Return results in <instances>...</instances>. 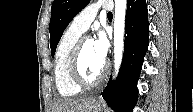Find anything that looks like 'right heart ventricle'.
I'll use <instances>...</instances> for the list:
<instances>
[{"label":"right heart ventricle","instance_id":"obj_1","mask_svg":"<svg viewBox=\"0 0 193 112\" xmlns=\"http://www.w3.org/2000/svg\"><path fill=\"white\" fill-rule=\"evenodd\" d=\"M82 33L69 27L61 36L54 55V77L58 92L63 97H73L81 92L70 75L72 50Z\"/></svg>","mask_w":193,"mask_h":112}]
</instances>
